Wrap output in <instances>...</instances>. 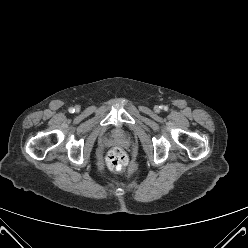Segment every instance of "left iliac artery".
Wrapping results in <instances>:
<instances>
[{
    "instance_id": "44dca946",
    "label": "left iliac artery",
    "mask_w": 248,
    "mask_h": 248,
    "mask_svg": "<svg viewBox=\"0 0 248 248\" xmlns=\"http://www.w3.org/2000/svg\"><path fill=\"white\" fill-rule=\"evenodd\" d=\"M168 108H167V106H164V110H167Z\"/></svg>"
}]
</instances>
